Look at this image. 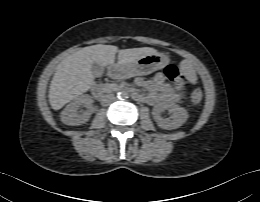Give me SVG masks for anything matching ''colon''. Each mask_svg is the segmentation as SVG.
Segmentation results:
<instances>
[{
  "label": "colon",
  "mask_w": 260,
  "mask_h": 202,
  "mask_svg": "<svg viewBox=\"0 0 260 202\" xmlns=\"http://www.w3.org/2000/svg\"><path fill=\"white\" fill-rule=\"evenodd\" d=\"M165 76L177 89L183 88L188 82L187 77L174 64H170L165 68ZM202 98L203 93L200 89H194L190 94V100L193 104H199Z\"/></svg>",
  "instance_id": "colon-1"
}]
</instances>
